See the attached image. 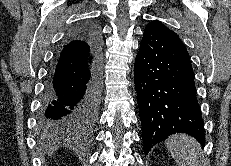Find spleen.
Returning <instances> with one entry per match:
<instances>
[{
  "mask_svg": "<svg viewBox=\"0 0 231 166\" xmlns=\"http://www.w3.org/2000/svg\"><path fill=\"white\" fill-rule=\"evenodd\" d=\"M165 145L178 166H202L201 147L193 137L175 134L165 141Z\"/></svg>",
  "mask_w": 231,
  "mask_h": 166,
  "instance_id": "obj_1",
  "label": "spleen"
}]
</instances>
